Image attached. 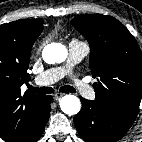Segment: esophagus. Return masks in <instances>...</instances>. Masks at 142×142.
Segmentation results:
<instances>
[{
	"mask_svg": "<svg viewBox=\"0 0 142 142\" xmlns=\"http://www.w3.org/2000/svg\"><path fill=\"white\" fill-rule=\"evenodd\" d=\"M63 95H64L63 93L57 92V93L54 94V99H55L56 101H58Z\"/></svg>",
	"mask_w": 142,
	"mask_h": 142,
	"instance_id": "1",
	"label": "esophagus"
}]
</instances>
